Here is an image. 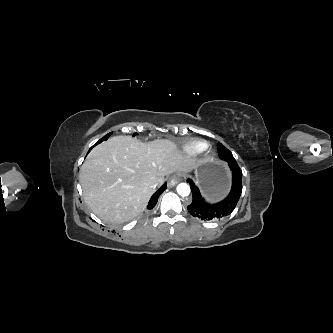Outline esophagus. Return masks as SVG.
<instances>
[{
    "label": "esophagus",
    "mask_w": 333,
    "mask_h": 333,
    "mask_svg": "<svg viewBox=\"0 0 333 333\" xmlns=\"http://www.w3.org/2000/svg\"><path fill=\"white\" fill-rule=\"evenodd\" d=\"M181 181V177L178 174H174L169 177L167 185L168 187H173Z\"/></svg>",
    "instance_id": "34e87169"
}]
</instances>
